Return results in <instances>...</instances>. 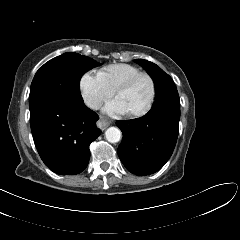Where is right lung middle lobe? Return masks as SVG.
Segmentation results:
<instances>
[{
	"label": "right lung middle lobe",
	"mask_w": 240,
	"mask_h": 240,
	"mask_svg": "<svg viewBox=\"0 0 240 240\" xmlns=\"http://www.w3.org/2000/svg\"><path fill=\"white\" fill-rule=\"evenodd\" d=\"M100 63L78 53H64L45 63L30 89V114L55 102L81 103L80 79Z\"/></svg>",
	"instance_id": "right-lung-middle-lobe-1"
}]
</instances>
